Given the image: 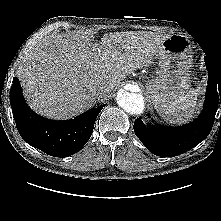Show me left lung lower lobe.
<instances>
[{
  "label": "left lung lower lobe",
  "mask_w": 221,
  "mask_h": 221,
  "mask_svg": "<svg viewBox=\"0 0 221 221\" xmlns=\"http://www.w3.org/2000/svg\"><path fill=\"white\" fill-rule=\"evenodd\" d=\"M206 99L200 116L190 124L180 127L145 125L141 118L134 123V132L141 142L153 154L161 157H173L183 154L197 146L210 133L218 104H221V82L209 67ZM149 117V115H148Z\"/></svg>",
  "instance_id": "obj_1"
}]
</instances>
